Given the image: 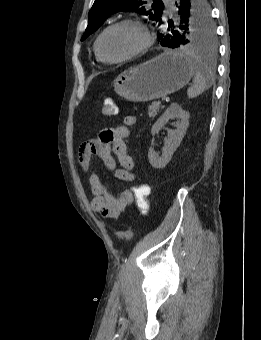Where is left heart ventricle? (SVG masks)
Listing matches in <instances>:
<instances>
[{"label": "left heart ventricle", "mask_w": 261, "mask_h": 340, "mask_svg": "<svg viewBox=\"0 0 261 340\" xmlns=\"http://www.w3.org/2000/svg\"><path fill=\"white\" fill-rule=\"evenodd\" d=\"M143 42L141 31L124 24L110 29L101 39L100 52L107 59L122 57L136 50Z\"/></svg>", "instance_id": "1"}]
</instances>
